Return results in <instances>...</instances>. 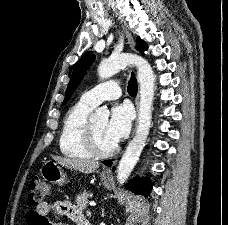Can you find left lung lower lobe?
<instances>
[{"label": "left lung lower lobe", "instance_id": "left-lung-lower-lobe-1", "mask_svg": "<svg viewBox=\"0 0 228 225\" xmlns=\"http://www.w3.org/2000/svg\"><path fill=\"white\" fill-rule=\"evenodd\" d=\"M103 163L107 166L112 165V162L110 161H104ZM114 170H115V167H113V171ZM126 187L137 194H143L147 196L150 192L152 184L149 183L147 179L135 178L129 184H127Z\"/></svg>", "mask_w": 228, "mask_h": 225}]
</instances>
